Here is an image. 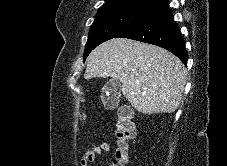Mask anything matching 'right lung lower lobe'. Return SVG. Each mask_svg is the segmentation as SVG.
I'll return each mask as SVG.
<instances>
[{"mask_svg": "<svg viewBox=\"0 0 227 166\" xmlns=\"http://www.w3.org/2000/svg\"><path fill=\"white\" fill-rule=\"evenodd\" d=\"M116 38H128L162 47L187 64V51L179 27L173 20L168 2Z\"/></svg>", "mask_w": 227, "mask_h": 166, "instance_id": "right-lung-lower-lobe-1", "label": "right lung lower lobe"}]
</instances>
